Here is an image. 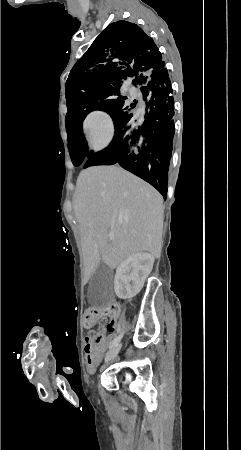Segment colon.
<instances>
[{
  "label": "colon",
  "instance_id": "colon-1",
  "mask_svg": "<svg viewBox=\"0 0 241 450\" xmlns=\"http://www.w3.org/2000/svg\"><path fill=\"white\" fill-rule=\"evenodd\" d=\"M121 309V306L118 305L116 301H112L107 307L89 309L86 313H84V327H93V323H97L99 321V316L103 314L111 313V315L116 316Z\"/></svg>",
  "mask_w": 241,
  "mask_h": 450
}]
</instances>
